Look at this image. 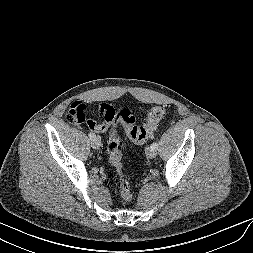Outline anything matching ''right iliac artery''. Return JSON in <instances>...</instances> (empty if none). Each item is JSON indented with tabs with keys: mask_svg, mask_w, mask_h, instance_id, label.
<instances>
[{
	"mask_svg": "<svg viewBox=\"0 0 253 253\" xmlns=\"http://www.w3.org/2000/svg\"><path fill=\"white\" fill-rule=\"evenodd\" d=\"M88 136H89V138H90L91 140L95 137L94 133H91V132L88 134Z\"/></svg>",
	"mask_w": 253,
	"mask_h": 253,
	"instance_id": "82829eb1",
	"label": "right iliac artery"
}]
</instances>
